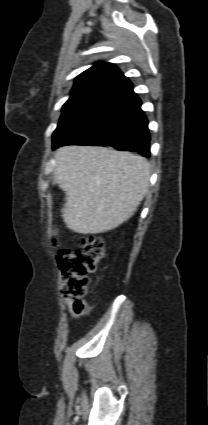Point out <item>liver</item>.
I'll list each match as a JSON object with an SVG mask.
<instances>
[{"label": "liver", "mask_w": 208, "mask_h": 425, "mask_svg": "<svg viewBox=\"0 0 208 425\" xmlns=\"http://www.w3.org/2000/svg\"><path fill=\"white\" fill-rule=\"evenodd\" d=\"M54 176L67 198L62 217L79 234L110 231L137 210L149 187L148 161L105 147L64 146Z\"/></svg>", "instance_id": "6515ba94"}]
</instances>
